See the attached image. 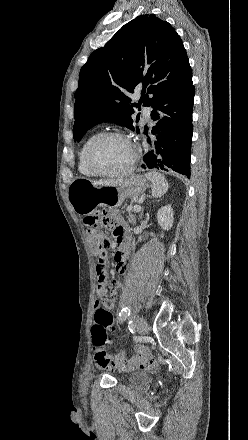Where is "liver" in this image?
Returning a JSON list of instances; mask_svg holds the SVG:
<instances>
[{"label": "liver", "mask_w": 248, "mask_h": 440, "mask_svg": "<svg viewBox=\"0 0 248 440\" xmlns=\"http://www.w3.org/2000/svg\"><path fill=\"white\" fill-rule=\"evenodd\" d=\"M120 182H122V180L95 181L93 183H94V185H107V186H109V185H114V184H117Z\"/></svg>", "instance_id": "liver-1"}]
</instances>
